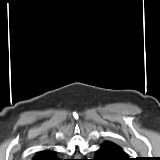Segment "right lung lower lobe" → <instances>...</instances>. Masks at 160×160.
<instances>
[{
    "instance_id": "obj_1",
    "label": "right lung lower lobe",
    "mask_w": 160,
    "mask_h": 160,
    "mask_svg": "<svg viewBox=\"0 0 160 160\" xmlns=\"http://www.w3.org/2000/svg\"><path fill=\"white\" fill-rule=\"evenodd\" d=\"M33 160H59L56 156V152L53 150H43L37 153Z\"/></svg>"
}]
</instances>
